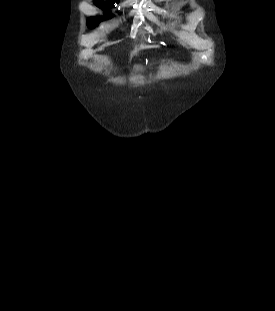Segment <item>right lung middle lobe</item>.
<instances>
[{
	"instance_id": "obj_1",
	"label": "right lung middle lobe",
	"mask_w": 275,
	"mask_h": 311,
	"mask_svg": "<svg viewBox=\"0 0 275 311\" xmlns=\"http://www.w3.org/2000/svg\"><path fill=\"white\" fill-rule=\"evenodd\" d=\"M98 7L104 8L105 6L101 5V6H98ZM105 14H106L107 18L110 17L109 12H105ZM99 21H100V19L91 17V18L88 19L87 22H88L89 27H95V26L98 25Z\"/></svg>"
}]
</instances>
